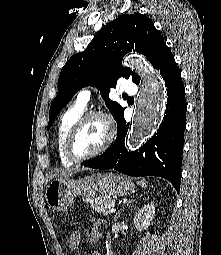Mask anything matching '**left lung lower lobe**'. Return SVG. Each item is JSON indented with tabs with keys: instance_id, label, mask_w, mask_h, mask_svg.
Listing matches in <instances>:
<instances>
[{
	"instance_id": "left-lung-lower-lobe-1",
	"label": "left lung lower lobe",
	"mask_w": 221,
	"mask_h": 255,
	"mask_svg": "<svg viewBox=\"0 0 221 255\" xmlns=\"http://www.w3.org/2000/svg\"><path fill=\"white\" fill-rule=\"evenodd\" d=\"M167 86V105L163 121L152 138L134 152H127L124 139L129 123L118 120L117 138L99 157L83 165L96 169H115L130 176H160L169 180L179 193L186 127L187 104L181 73L171 50L165 46L154 65Z\"/></svg>"
}]
</instances>
